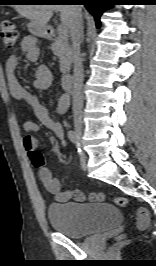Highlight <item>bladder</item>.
Listing matches in <instances>:
<instances>
[{"label":"bladder","mask_w":156,"mask_h":266,"mask_svg":"<svg viewBox=\"0 0 156 266\" xmlns=\"http://www.w3.org/2000/svg\"><path fill=\"white\" fill-rule=\"evenodd\" d=\"M47 217L56 231L71 238H82L107 230L122 220L119 210L107 203H53L47 209Z\"/></svg>","instance_id":"31cf9c89"}]
</instances>
